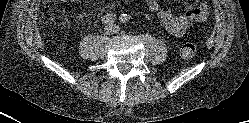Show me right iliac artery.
I'll return each mask as SVG.
<instances>
[{
	"label": "right iliac artery",
	"mask_w": 249,
	"mask_h": 123,
	"mask_svg": "<svg viewBox=\"0 0 249 123\" xmlns=\"http://www.w3.org/2000/svg\"><path fill=\"white\" fill-rule=\"evenodd\" d=\"M116 20V14L114 13H108L102 18V23L103 24H112Z\"/></svg>",
	"instance_id": "right-iliac-artery-1"
}]
</instances>
